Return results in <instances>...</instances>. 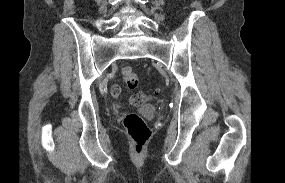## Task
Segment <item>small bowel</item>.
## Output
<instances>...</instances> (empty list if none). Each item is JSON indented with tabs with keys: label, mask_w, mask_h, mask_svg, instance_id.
Returning <instances> with one entry per match:
<instances>
[{
	"label": "small bowel",
	"mask_w": 285,
	"mask_h": 183,
	"mask_svg": "<svg viewBox=\"0 0 285 183\" xmlns=\"http://www.w3.org/2000/svg\"><path fill=\"white\" fill-rule=\"evenodd\" d=\"M111 94H112L113 97L118 98L120 96V94H121V87H120V85H117V84L113 85L111 87Z\"/></svg>",
	"instance_id": "c3829d8e"
}]
</instances>
